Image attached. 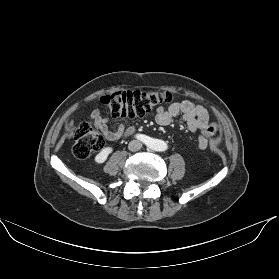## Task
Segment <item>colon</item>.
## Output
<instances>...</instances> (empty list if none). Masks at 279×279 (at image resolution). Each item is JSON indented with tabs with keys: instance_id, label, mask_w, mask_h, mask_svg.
<instances>
[{
	"instance_id": "5ec220e1",
	"label": "colon",
	"mask_w": 279,
	"mask_h": 279,
	"mask_svg": "<svg viewBox=\"0 0 279 279\" xmlns=\"http://www.w3.org/2000/svg\"><path fill=\"white\" fill-rule=\"evenodd\" d=\"M173 95L168 91H117L101 97L102 104L110 111L113 117L136 118L142 117L155 107L169 103ZM218 130V125L212 123L205 134L212 137ZM104 147V137L92 122L80 123L74 131L73 154L79 159L89 157L93 152Z\"/></svg>"
}]
</instances>
